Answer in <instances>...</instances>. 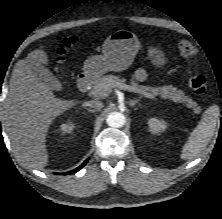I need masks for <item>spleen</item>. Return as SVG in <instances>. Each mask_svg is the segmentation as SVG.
<instances>
[{
	"label": "spleen",
	"instance_id": "obj_1",
	"mask_svg": "<svg viewBox=\"0 0 222 219\" xmlns=\"http://www.w3.org/2000/svg\"><path fill=\"white\" fill-rule=\"evenodd\" d=\"M219 116L220 110L217 105H212L204 111L201 121L183 146L181 159H192L207 146L214 135Z\"/></svg>",
	"mask_w": 222,
	"mask_h": 219
}]
</instances>
